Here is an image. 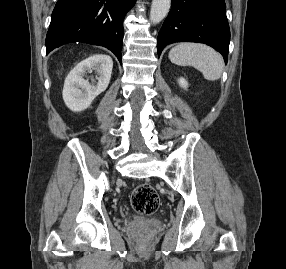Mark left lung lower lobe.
Wrapping results in <instances>:
<instances>
[{
  "label": "left lung lower lobe",
  "instance_id": "1",
  "mask_svg": "<svg viewBox=\"0 0 286 269\" xmlns=\"http://www.w3.org/2000/svg\"><path fill=\"white\" fill-rule=\"evenodd\" d=\"M205 43L228 59L230 30L224 0H172L157 40L158 57L173 42Z\"/></svg>",
  "mask_w": 286,
  "mask_h": 269
}]
</instances>
